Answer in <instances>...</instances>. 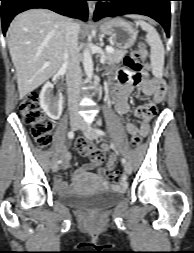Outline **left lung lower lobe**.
<instances>
[{
	"label": "left lung lower lobe",
	"mask_w": 194,
	"mask_h": 253,
	"mask_svg": "<svg viewBox=\"0 0 194 253\" xmlns=\"http://www.w3.org/2000/svg\"><path fill=\"white\" fill-rule=\"evenodd\" d=\"M94 20L124 14H141L158 21L169 36L171 0H96ZM101 1H105L102 3ZM110 1V3H108Z\"/></svg>",
	"instance_id": "0a47b994"
}]
</instances>
